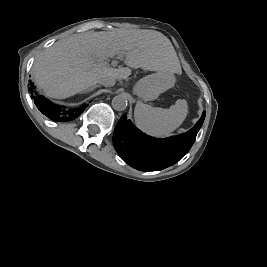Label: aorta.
Wrapping results in <instances>:
<instances>
[{
	"label": "aorta",
	"instance_id": "762f6f07",
	"mask_svg": "<svg viewBox=\"0 0 267 267\" xmlns=\"http://www.w3.org/2000/svg\"><path fill=\"white\" fill-rule=\"evenodd\" d=\"M128 100L123 94H119L112 99V107L116 111H123L127 108Z\"/></svg>",
	"mask_w": 267,
	"mask_h": 267
}]
</instances>
